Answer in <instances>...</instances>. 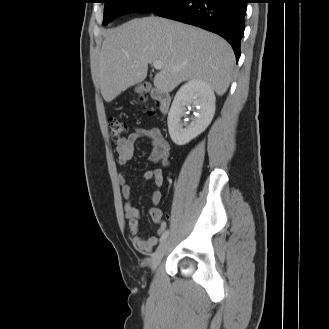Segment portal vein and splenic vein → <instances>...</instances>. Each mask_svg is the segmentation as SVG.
Returning <instances> with one entry per match:
<instances>
[{
    "label": "portal vein and splenic vein",
    "instance_id": "obj_1",
    "mask_svg": "<svg viewBox=\"0 0 329 329\" xmlns=\"http://www.w3.org/2000/svg\"><path fill=\"white\" fill-rule=\"evenodd\" d=\"M153 66L157 70H161L163 68V63L161 61H154Z\"/></svg>",
    "mask_w": 329,
    "mask_h": 329
}]
</instances>
